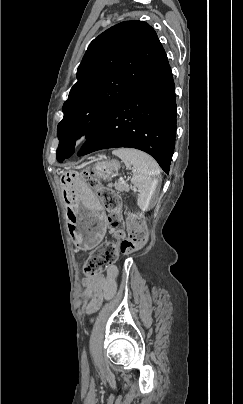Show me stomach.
<instances>
[{"label":"stomach","instance_id":"1","mask_svg":"<svg viewBox=\"0 0 243 404\" xmlns=\"http://www.w3.org/2000/svg\"><path fill=\"white\" fill-rule=\"evenodd\" d=\"M119 169L120 163L117 160H98L93 172L100 179H109L116 176ZM61 182L63 196L68 204V232L80 250L93 249L105 234L104 208L79 174L67 171L62 175Z\"/></svg>","mask_w":243,"mask_h":404}]
</instances>
